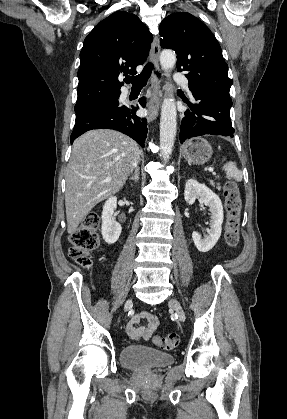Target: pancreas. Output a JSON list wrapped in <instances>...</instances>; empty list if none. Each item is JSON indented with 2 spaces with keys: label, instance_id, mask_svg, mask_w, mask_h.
Instances as JSON below:
<instances>
[{
  "label": "pancreas",
  "instance_id": "cf45deb5",
  "mask_svg": "<svg viewBox=\"0 0 287 419\" xmlns=\"http://www.w3.org/2000/svg\"><path fill=\"white\" fill-rule=\"evenodd\" d=\"M210 184L214 187L215 186V183H214V181H212V180H210ZM218 188V187H217Z\"/></svg>",
  "mask_w": 287,
  "mask_h": 419
}]
</instances>
